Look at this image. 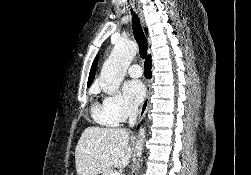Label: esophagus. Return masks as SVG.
<instances>
[{
    "label": "esophagus",
    "mask_w": 251,
    "mask_h": 175,
    "mask_svg": "<svg viewBox=\"0 0 251 175\" xmlns=\"http://www.w3.org/2000/svg\"><path fill=\"white\" fill-rule=\"evenodd\" d=\"M141 21L142 23L143 22V17L141 15ZM145 86H146V96L140 106V109H139V113H138V118H142L146 115L148 109H149V106H150V98H151V95H152V90H151V82L150 80H146L145 82Z\"/></svg>",
    "instance_id": "obj_1"
}]
</instances>
